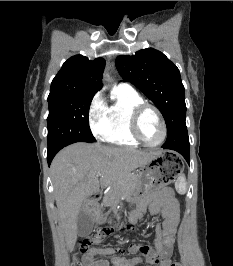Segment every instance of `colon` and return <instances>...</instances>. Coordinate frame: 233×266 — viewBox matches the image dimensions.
Instances as JSON below:
<instances>
[{
	"instance_id": "obj_1",
	"label": "colon",
	"mask_w": 233,
	"mask_h": 266,
	"mask_svg": "<svg viewBox=\"0 0 233 266\" xmlns=\"http://www.w3.org/2000/svg\"><path fill=\"white\" fill-rule=\"evenodd\" d=\"M131 225H127L124 227V229H130ZM113 232V229H103V230H97L92 235L84 238L79 244H78V251L82 254H85L89 251L92 245L100 243L107 235L111 234ZM72 266H81V263L75 259ZM170 266H182L178 262H174L170 264Z\"/></svg>"
}]
</instances>
